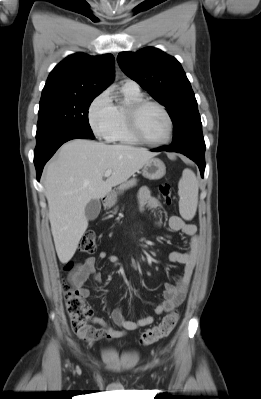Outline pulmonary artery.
<instances>
[{
    "mask_svg": "<svg viewBox=\"0 0 261 399\" xmlns=\"http://www.w3.org/2000/svg\"><path fill=\"white\" fill-rule=\"evenodd\" d=\"M122 88L127 91L138 92L140 91V87L138 83L131 79H126L123 82Z\"/></svg>",
    "mask_w": 261,
    "mask_h": 399,
    "instance_id": "pulmonary-artery-1",
    "label": "pulmonary artery"
}]
</instances>
